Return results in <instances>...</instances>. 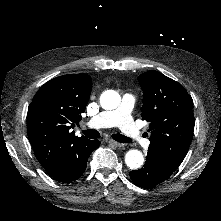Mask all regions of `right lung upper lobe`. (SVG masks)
Here are the masks:
<instances>
[{
	"label": "right lung upper lobe",
	"mask_w": 221,
	"mask_h": 221,
	"mask_svg": "<svg viewBox=\"0 0 221 221\" xmlns=\"http://www.w3.org/2000/svg\"><path fill=\"white\" fill-rule=\"evenodd\" d=\"M92 88L87 74L56 77L35 94L28 108L27 132L34 153L47 172L89 140L71 129L82 119Z\"/></svg>",
	"instance_id": "right-lung-upper-lobe-1"
}]
</instances>
